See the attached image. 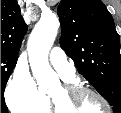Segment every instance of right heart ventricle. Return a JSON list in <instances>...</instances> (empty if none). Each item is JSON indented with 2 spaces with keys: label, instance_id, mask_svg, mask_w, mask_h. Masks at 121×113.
<instances>
[{
  "label": "right heart ventricle",
  "instance_id": "e07e8e85",
  "mask_svg": "<svg viewBox=\"0 0 121 113\" xmlns=\"http://www.w3.org/2000/svg\"><path fill=\"white\" fill-rule=\"evenodd\" d=\"M66 82H71L73 81V78L72 79H64ZM52 110V106L50 104V101L49 99L44 96V99L42 101V104H41V107L39 108L38 112L39 113H50Z\"/></svg>",
  "mask_w": 121,
  "mask_h": 113
}]
</instances>
